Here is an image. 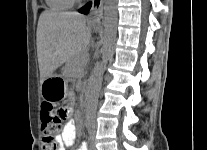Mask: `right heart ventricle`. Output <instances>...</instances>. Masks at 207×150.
<instances>
[{
	"label": "right heart ventricle",
	"instance_id": "1",
	"mask_svg": "<svg viewBox=\"0 0 207 150\" xmlns=\"http://www.w3.org/2000/svg\"><path fill=\"white\" fill-rule=\"evenodd\" d=\"M53 11H66L73 7L75 0H45Z\"/></svg>",
	"mask_w": 207,
	"mask_h": 150
}]
</instances>
